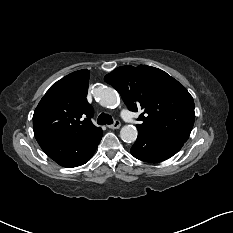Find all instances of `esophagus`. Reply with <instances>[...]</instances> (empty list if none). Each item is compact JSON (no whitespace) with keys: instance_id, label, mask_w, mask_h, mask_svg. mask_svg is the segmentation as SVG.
Returning <instances> with one entry per match:
<instances>
[{"instance_id":"obj_1","label":"esophagus","mask_w":233,"mask_h":233,"mask_svg":"<svg viewBox=\"0 0 233 233\" xmlns=\"http://www.w3.org/2000/svg\"><path fill=\"white\" fill-rule=\"evenodd\" d=\"M121 126V123L119 120H115V122L111 125H108V128L110 129H119Z\"/></svg>"}]
</instances>
